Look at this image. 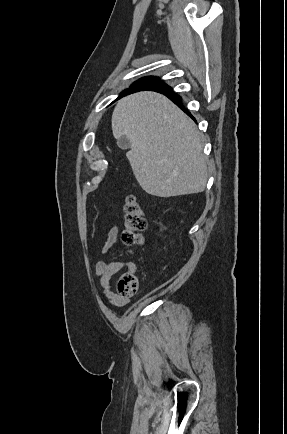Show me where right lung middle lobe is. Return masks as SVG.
<instances>
[{"label":"right lung middle lobe","mask_w":287,"mask_h":434,"mask_svg":"<svg viewBox=\"0 0 287 434\" xmlns=\"http://www.w3.org/2000/svg\"><path fill=\"white\" fill-rule=\"evenodd\" d=\"M161 84L160 80L156 77H143L132 84L131 88L133 87H139V86H150V85H156ZM123 94V93H122Z\"/></svg>","instance_id":"obj_1"}]
</instances>
